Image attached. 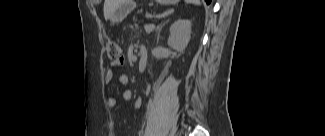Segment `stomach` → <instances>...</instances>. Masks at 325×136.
<instances>
[{
  "mask_svg": "<svg viewBox=\"0 0 325 136\" xmlns=\"http://www.w3.org/2000/svg\"><path fill=\"white\" fill-rule=\"evenodd\" d=\"M160 4H174L177 0H156ZM136 4L130 0H121L120 5L114 11V13L110 17V21L113 23L121 22L129 12H134V6Z\"/></svg>",
  "mask_w": 325,
  "mask_h": 136,
  "instance_id": "1",
  "label": "stomach"
}]
</instances>
